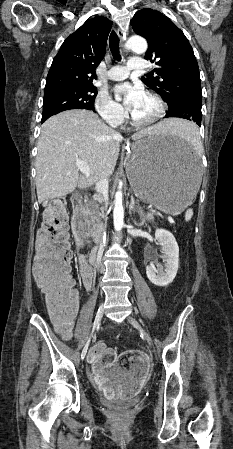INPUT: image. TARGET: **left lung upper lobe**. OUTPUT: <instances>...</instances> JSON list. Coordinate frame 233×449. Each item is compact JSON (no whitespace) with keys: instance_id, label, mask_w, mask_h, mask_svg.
<instances>
[{"instance_id":"obj_1","label":"left lung upper lobe","mask_w":233,"mask_h":449,"mask_svg":"<svg viewBox=\"0 0 233 449\" xmlns=\"http://www.w3.org/2000/svg\"><path fill=\"white\" fill-rule=\"evenodd\" d=\"M131 25L148 42L145 59L157 65V77L141 80L177 109L201 112L202 93L198 64L184 33L159 11L145 8L135 13ZM191 114L190 117H193Z\"/></svg>"}]
</instances>
